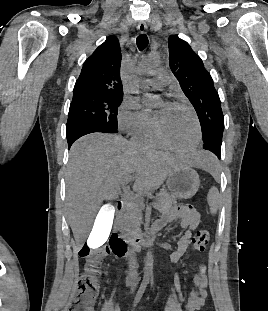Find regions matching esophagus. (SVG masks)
<instances>
[{
	"label": "esophagus",
	"instance_id": "obj_1",
	"mask_svg": "<svg viewBox=\"0 0 268 311\" xmlns=\"http://www.w3.org/2000/svg\"><path fill=\"white\" fill-rule=\"evenodd\" d=\"M137 30L140 34H144L147 30V25L144 21H140L137 26Z\"/></svg>",
	"mask_w": 268,
	"mask_h": 311
}]
</instances>
